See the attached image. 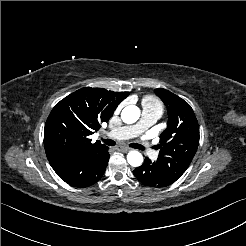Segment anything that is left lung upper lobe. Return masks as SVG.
<instances>
[{
    "instance_id": "1",
    "label": "left lung upper lobe",
    "mask_w": 246,
    "mask_h": 246,
    "mask_svg": "<svg viewBox=\"0 0 246 246\" xmlns=\"http://www.w3.org/2000/svg\"><path fill=\"white\" fill-rule=\"evenodd\" d=\"M168 110V126L160 136L156 162L180 178L190 165L199 144V125L190 105L165 89H155Z\"/></svg>"
}]
</instances>
